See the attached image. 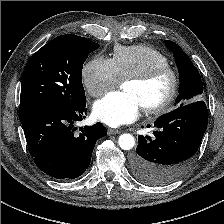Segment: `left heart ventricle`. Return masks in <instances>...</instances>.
Wrapping results in <instances>:
<instances>
[{
  "instance_id": "b2bd125f",
  "label": "left heart ventricle",
  "mask_w": 224,
  "mask_h": 224,
  "mask_svg": "<svg viewBox=\"0 0 224 224\" xmlns=\"http://www.w3.org/2000/svg\"><path fill=\"white\" fill-rule=\"evenodd\" d=\"M169 88L170 78L168 75L159 76L146 84L126 82L123 85L125 92L133 93L139 98L142 107L161 101L168 93Z\"/></svg>"
}]
</instances>
